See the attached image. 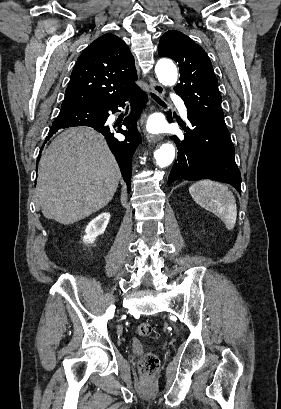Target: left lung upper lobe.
Returning a JSON list of instances; mask_svg holds the SVG:
<instances>
[{
    "mask_svg": "<svg viewBox=\"0 0 281 409\" xmlns=\"http://www.w3.org/2000/svg\"><path fill=\"white\" fill-rule=\"evenodd\" d=\"M158 50L160 57H169L179 64L180 83L174 90L187 109L225 124L218 81L206 52L176 30L161 37Z\"/></svg>",
    "mask_w": 281,
    "mask_h": 409,
    "instance_id": "1",
    "label": "left lung upper lobe"
}]
</instances>
